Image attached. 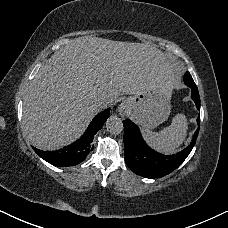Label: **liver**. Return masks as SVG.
I'll return each mask as SVG.
<instances>
[{
    "label": "liver",
    "instance_id": "liver-1",
    "mask_svg": "<svg viewBox=\"0 0 228 228\" xmlns=\"http://www.w3.org/2000/svg\"><path fill=\"white\" fill-rule=\"evenodd\" d=\"M181 75L174 58L147 44L80 37L54 52L36 73L23 102L31 144L59 149L78 138L100 110L101 97L151 88L170 94Z\"/></svg>",
    "mask_w": 228,
    "mask_h": 228
}]
</instances>
